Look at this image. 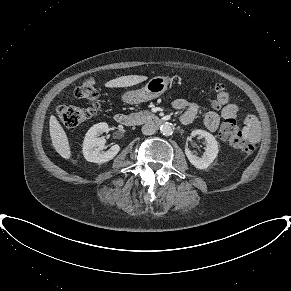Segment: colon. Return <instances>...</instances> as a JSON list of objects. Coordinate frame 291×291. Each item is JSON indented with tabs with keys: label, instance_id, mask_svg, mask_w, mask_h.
Segmentation results:
<instances>
[{
	"label": "colon",
	"instance_id": "1",
	"mask_svg": "<svg viewBox=\"0 0 291 291\" xmlns=\"http://www.w3.org/2000/svg\"><path fill=\"white\" fill-rule=\"evenodd\" d=\"M74 96L88 103L86 107L61 105L57 109L60 121L67 127H75L90 119L99 108V91L93 78H87L74 90ZM229 92L224 85L214 88L212 104L216 108L228 105ZM220 136L241 154L250 155L254 152V145L247 141L234 118H226L220 127Z\"/></svg>",
	"mask_w": 291,
	"mask_h": 291
}]
</instances>
